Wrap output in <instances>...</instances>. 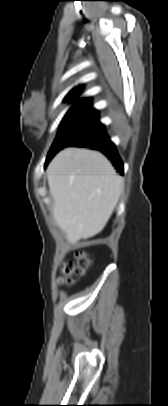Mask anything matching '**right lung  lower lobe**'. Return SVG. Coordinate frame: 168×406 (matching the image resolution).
<instances>
[{
  "label": "right lung lower lobe",
  "mask_w": 168,
  "mask_h": 406,
  "mask_svg": "<svg viewBox=\"0 0 168 406\" xmlns=\"http://www.w3.org/2000/svg\"><path fill=\"white\" fill-rule=\"evenodd\" d=\"M70 146L91 148V149L102 152L103 154H105L106 157H108L109 160L112 161V163L117 167L119 172L121 174H123L122 161L117 153L115 145L110 141L109 137L107 136L105 129H103L93 135H90V136L82 139L81 141L73 143L67 147H70Z\"/></svg>",
  "instance_id": "1"
}]
</instances>
